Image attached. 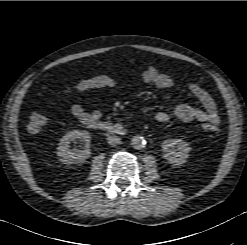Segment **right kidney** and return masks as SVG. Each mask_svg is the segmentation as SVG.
Listing matches in <instances>:
<instances>
[{"instance_id":"ca27d5eb","label":"right kidney","mask_w":247,"mask_h":245,"mask_svg":"<svg viewBox=\"0 0 247 245\" xmlns=\"http://www.w3.org/2000/svg\"><path fill=\"white\" fill-rule=\"evenodd\" d=\"M90 135L87 131L73 130L66 133L60 140L57 155L64 164H74L86 161L91 154ZM79 140L85 144L82 150L74 151L70 149V143Z\"/></svg>"}]
</instances>
